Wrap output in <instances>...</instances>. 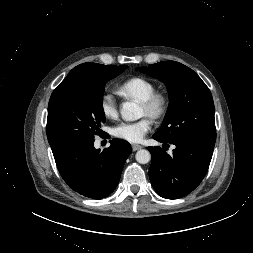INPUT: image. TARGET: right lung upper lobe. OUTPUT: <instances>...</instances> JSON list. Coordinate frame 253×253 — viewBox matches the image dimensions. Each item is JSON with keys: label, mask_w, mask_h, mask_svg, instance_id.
<instances>
[{"label": "right lung upper lobe", "mask_w": 253, "mask_h": 253, "mask_svg": "<svg viewBox=\"0 0 253 253\" xmlns=\"http://www.w3.org/2000/svg\"><path fill=\"white\" fill-rule=\"evenodd\" d=\"M111 66L113 65H102L98 63H83L73 68L69 72L68 76L63 80V82L75 80L80 77H86L88 75L98 72L101 69L110 68Z\"/></svg>", "instance_id": "obj_1"}]
</instances>
